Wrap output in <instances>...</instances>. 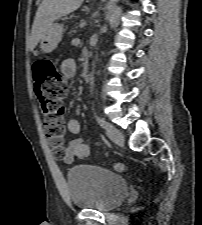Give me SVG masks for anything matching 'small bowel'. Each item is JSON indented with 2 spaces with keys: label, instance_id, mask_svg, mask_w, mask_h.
<instances>
[{
  "label": "small bowel",
  "instance_id": "c3829d8e",
  "mask_svg": "<svg viewBox=\"0 0 202 225\" xmlns=\"http://www.w3.org/2000/svg\"><path fill=\"white\" fill-rule=\"evenodd\" d=\"M86 53V52H84ZM87 54V53H86ZM61 71L68 79H72L77 71V63L74 58H67L61 63ZM67 131L77 135L80 133V121L76 118H68L66 121ZM89 143L81 137L71 140L66 148V152L60 157L61 161L66 165H72L77 160H84L89 156Z\"/></svg>",
  "mask_w": 202,
  "mask_h": 225
}]
</instances>
